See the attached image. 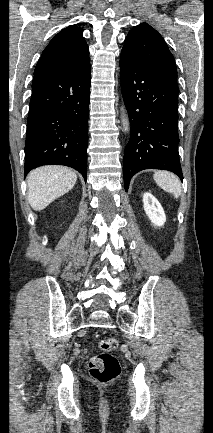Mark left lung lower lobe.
Masks as SVG:
<instances>
[{
    "label": "left lung lower lobe",
    "mask_w": 213,
    "mask_h": 433,
    "mask_svg": "<svg viewBox=\"0 0 213 433\" xmlns=\"http://www.w3.org/2000/svg\"><path fill=\"white\" fill-rule=\"evenodd\" d=\"M121 90L131 121L124 151V186L143 169L169 170L183 179L178 135L177 81L151 71L121 51Z\"/></svg>",
    "instance_id": "obj_1"
}]
</instances>
